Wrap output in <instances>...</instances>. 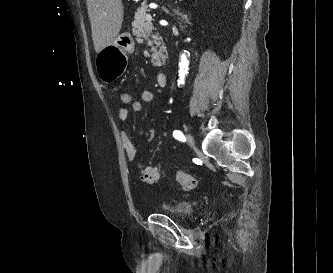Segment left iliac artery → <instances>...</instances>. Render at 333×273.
I'll return each instance as SVG.
<instances>
[{
    "mask_svg": "<svg viewBox=\"0 0 333 273\" xmlns=\"http://www.w3.org/2000/svg\"><path fill=\"white\" fill-rule=\"evenodd\" d=\"M173 137H174L175 139L180 140V141H186L185 136H184L183 133H182L181 131H179V130H175V131L173 132Z\"/></svg>",
    "mask_w": 333,
    "mask_h": 273,
    "instance_id": "left-iliac-artery-1",
    "label": "left iliac artery"
}]
</instances>
